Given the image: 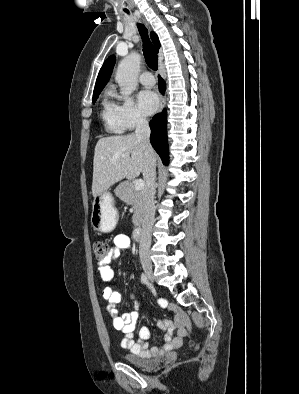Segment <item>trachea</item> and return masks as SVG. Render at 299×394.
I'll return each mask as SVG.
<instances>
[{"label": "trachea", "instance_id": "1", "mask_svg": "<svg viewBox=\"0 0 299 394\" xmlns=\"http://www.w3.org/2000/svg\"><path fill=\"white\" fill-rule=\"evenodd\" d=\"M126 13L129 14L128 11H126ZM138 30H139V33L141 35L142 42H143V53L145 56L146 63L152 70H157L158 57H157L156 51H155L150 39H149L148 30L142 24H138Z\"/></svg>", "mask_w": 299, "mask_h": 394}]
</instances>
